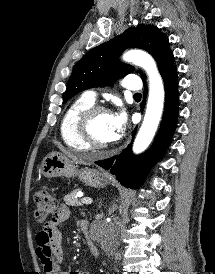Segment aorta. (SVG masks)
<instances>
[{
    "label": "aorta",
    "instance_id": "1",
    "mask_svg": "<svg viewBox=\"0 0 215 274\" xmlns=\"http://www.w3.org/2000/svg\"><path fill=\"white\" fill-rule=\"evenodd\" d=\"M126 62L142 67L149 77V97L142 126L135 138L133 152H143L151 143L164 107V86L153 58L140 50H130L123 55Z\"/></svg>",
    "mask_w": 215,
    "mask_h": 274
}]
</instances>
